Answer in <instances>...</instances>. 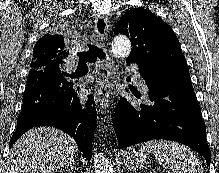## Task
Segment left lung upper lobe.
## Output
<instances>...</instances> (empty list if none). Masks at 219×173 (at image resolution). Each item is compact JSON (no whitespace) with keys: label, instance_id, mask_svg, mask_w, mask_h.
<instances>
[{"label":"left lung upper lobe","instance_id":"left-lung-upper-lobe-1","mask_svg":"<svg viewBox=\"0 0 219 173\" xmlns=\"http://www.w3.org/2000/svg\"><path fill=\"white\" fill-rule=\"evenodd\" d=\"M115 34L130 37L132 49L126 61L152 67L163 74L162 84L190 81L185 57L172 28L143 8L128 11L116 24Z\"/></svg>","mask_w":219,"mask_h":173}]
</instances>
